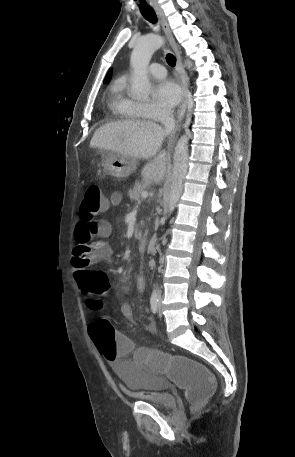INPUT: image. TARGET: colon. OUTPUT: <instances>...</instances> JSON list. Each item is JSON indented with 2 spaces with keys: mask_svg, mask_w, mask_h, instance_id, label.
<instances>
[{
  "mask_svg": "<svg viewBox=\"0 0 295 457\" xmlns=\"http://www.w3.org/2000/svg\"><path fill=\"white\" fill-rule=\"evenodd\" d=\"M108 202L97 184H89L80 205L81 221L91 222L108 210ZM87 247H78L75 251L76 267L86 265ZM110 292V275L100 270L87 271V289L84 296L91 310L101 306L100 296ZM98 355L113 363L132 362L142 365V372H165L170 383H177V390H185L187 400L193 405L203 403L216 390L214 374L204 369L203 363L188 362L187 357H178L177 351H163L161 346H135L129 341L126 330H115L104 318L95 320L89 329ZM164 360V363H162Z\"/></svg>",
  "mask_w": 295,
  "mask_h": 457,
  "instance_id": "5ec220e1",
  "label": "colon"
}]
</instances>
